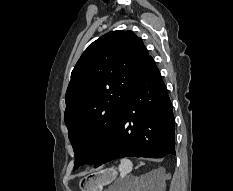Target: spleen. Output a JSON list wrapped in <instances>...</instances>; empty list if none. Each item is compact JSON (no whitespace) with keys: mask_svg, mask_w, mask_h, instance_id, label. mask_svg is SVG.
<instances>
[{"mask_svg":"<svg viewBox=\"0 0 233 191\" xmlns=\"http://www.w3.org/2000/svg\"><path fill=\"white\" fill-rule=\"evenodd\" d=\"M132 166V162L129 159H122L119 165L120 177L124 178L132 170Z\"/></svg>","mask_w":233,"mask_h":191,"instance_id":"1","label":"spleen"}]
</instances>
